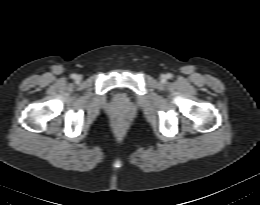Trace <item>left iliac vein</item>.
Wrapping results in <instances>:
<instances>
[{
  "instance_id": "4c4485c4",
  "label": "left iliac vein",
  "mask_w": 260,
  "mask_h": 205,
  "mask_svg": "<svg viewBox=\"0 0 260 205\" xmlns=\"http://www.w3.org/2000/svg\"><path fill=\"white\" fill-rule=\"evenodd\" d=\"M161 81H162V82H165V81H166V76H165V75H162V76H161Z\"/></svg>"
}]
</instances>
